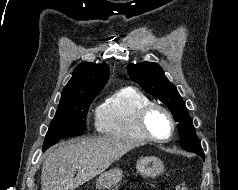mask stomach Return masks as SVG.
I'll return each instance as SVG.
<instances>
[{"mask_svg":"<svg viewBox=\"0 0 238 190\" xmlns=\"http://www.w3.org/2000/svg\"><path fill=\"white\" fill-rule=\"evenodd\" d=\"M137 170L144 177L155 178L163 173V162L154 156L144 157L137 161ZM123 171L120 168H112L102 173L97 181L96 187L99 190H110L122 179Z\"/></svg>","mask_w":238,"mask_h":190,"instance_id":"1","label":"stomach"}]
</instances>
